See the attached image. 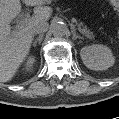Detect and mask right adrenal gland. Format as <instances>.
Listing matches in <instances>:
<instances>
[{
    "mask_svg": "<svg viewBox=\"0 0 119 119\" xmlns=\"http://www.w3.org/2000/svg\"><path fill=\"white\" fill-rule=\"evenodd\" d=\"M43 39V35H39V37H37L34 41H33V46H36V43L39 42L41 43Z\"/></svg>",
    "mask_w": 119,
    "mask_h": 119,
    "instance_id": "right-adrenal-gland-1",
    "label": "right adrenal gland"
}]
</instances>
